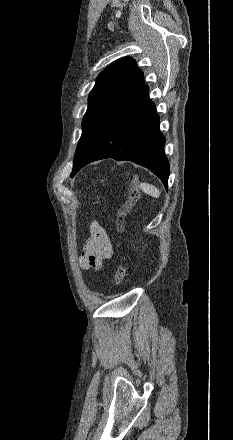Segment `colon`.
<instances>
[{
  "label": "colon",
  "instance_id": "colon-1",
  "mask_svg": "<svg viewBox=\"0 0 233 440\" xmlns=\"http://www.w3.org/2000/svg\"><path fill=\"white\" fill-rule=\"evenodd\" d=\"M94 182L99 184H105L107 182V179L101 178V179H97ZM124 184L128 187V195L126 201L120 207L116 215V230L118 234L123 233L126 216L136 206V204L138 203L141 197V192L133 178L130 177L124 179ZM127 273L128 271L126 267L122 263L119 264L115 272L114 284L116 286H119L124 281Z\"/></svg>",
  "mask_w": 233,
  "mask_h": 440
}]
</instances>
